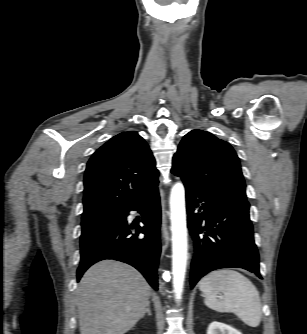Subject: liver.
I'll return each mask as SVG.
<instances>
[{"label": "liver", "mask_w": 307, "mask_h": 334, "mask_svg": "<svg viewBox=\"0 0 307 334\" xmlns=\"http://www.w3.org/2000/svg\"><path fill=\"white\" fill-rule=\"evenodd\" d=\"M151 287L132 266L103 260L91 266L77 289L80 334H125L142 317Z\"/></svg>", "instance_id": "1"}]
</instances>
